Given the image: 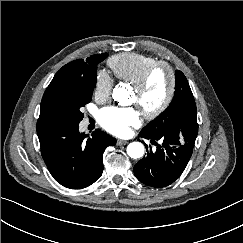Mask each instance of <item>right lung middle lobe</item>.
<instances>
[{
    "label": "right lung middle lobe",
    "instance_id": "obj_1",
    "mask_svg": "<svg viewBox=\"0 0 243 243\" xmlns=\"http://www.w3.org/2000/svg\"><path fill=\"white\" fill-rule=\"evenodd\" d=\"M108 56L100 54L96 65ZM96 70L87 79H62L51 82L46 89L40 108L38 122H53L64 124H79L84 114V107L92 100V93L96 85Z\"/></svg>",
    "mask_w": 243,
    "mask_h": 243
}]
</instances>
